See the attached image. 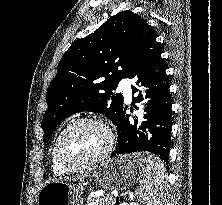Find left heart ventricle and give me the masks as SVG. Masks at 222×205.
Listing matches in <instances>:
<instances>
[{
    "label": "left heart ventricle",
    "mask_w": 222,
    "mask_h": 205,
    "mask_svg": "<svg viewBox=\"0 0 222 205\" xmlns=\"http://www.w3.org/2000/svg\"><path fill=\"white\" fill-rule=\"evenodd\" d=\"M106 144L104 131L92 124L73 128L63 139L61 151L69 162H81L99 154Z\"/></svg>",
    "instance_id": "obj_1"
}]
</instances>
